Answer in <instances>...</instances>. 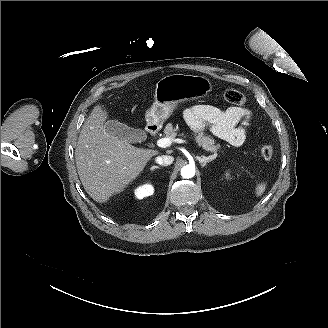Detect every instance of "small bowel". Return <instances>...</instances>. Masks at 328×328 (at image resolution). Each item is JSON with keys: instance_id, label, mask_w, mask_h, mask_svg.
Wrapping results in <instances>:
<instances>
[{"instance_id": "obj_1", "label": "small bowel", "mask_w": 328, "mask_h": 328, "mask_svg": "<svg viewBox=\"0 0 328 328\" xmlns=\"http://www.w3.org/2000/svg\"><path fill=\"white\" fill-rule=\"evenodd\" d=\"M184 119L197 133L209 128L213 135L228 144L241 146L246 140L252 113L243 107L222 110L212 105L196 104L184 110Z\"/></svg>"}]
</instances>
